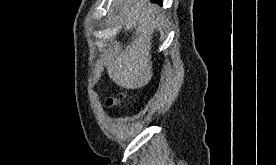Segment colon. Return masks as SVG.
I'll list each match as a JSON object with an SVG mask.
<instances>
[{
  "instance_id": "5ec220e1",
  "label": "colon",
  "mask_w": 276,
  "mask_h": 165,
  "mask_svg": "<svg viewBox=\"0 0 276 165\" xmlns=\"http://www.w3.org/2000/svg\"><path fill=\"white\" fill-rule=\"evenodd\" d=\"M124 98H125V95H121L119 98H110L107 100L106 106L113 107L115 105H118Z\"/></svg>"
}]
</instances>
